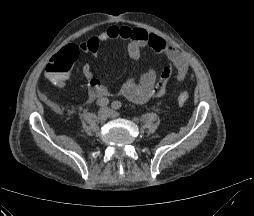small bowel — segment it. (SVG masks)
I'll use <instances>...</instances> for the list:
<instances>
[{"instance_id":"small-bowel-1","label":"small bowel","mask_w":254,"mask_h":216,"mask_svg":"<svg viewBox=\"0 0 254 216\" xmlns=\"http://www.w3.org/2000/svg\"><path fill=\"white\" fill-rule=\"evenodd\" d=\"M119 39L128 41L127 52L135 64L139 62L141 50L144 47L162 53L169 62V65L163 69L160 75L154 69H149L140 78L133 76L125 81L121 87V93L130 101L144 103L151 98L165 95L169 87L172 67L176 70L175 83H181L186 78L189 69L186 58L163 38L140 27L110 26L97 36H92L79 45H66L62 50V55L72 58L79 52H83L95 58L100 43ZM53 59H50L49 64L52 63ZM82 72L88 79V99L90 101L113 95V92L96 78L92 63L84 64ZM46 76L57 88H64L70 78L69 73L57 78H50L47 71Z\"/></svg>"}]
</instances>
